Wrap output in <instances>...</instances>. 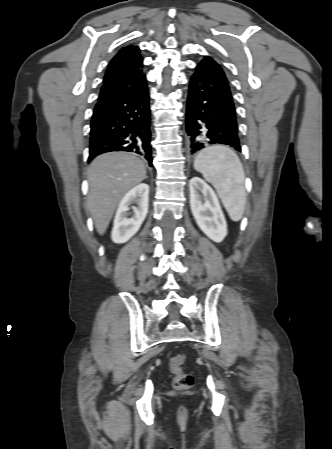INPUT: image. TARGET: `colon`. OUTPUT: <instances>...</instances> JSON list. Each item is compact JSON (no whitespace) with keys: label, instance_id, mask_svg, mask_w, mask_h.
Here are the masks:
<instances>
[{"label":"colon","instance_id":"5ec220e1","mask_svg":"<svg viewBox=\"0 0 332 449\" xmlns=\"http://www.w3.org/2000/svg\"><path fill=\"white\" fill-rule=\"evenodd\" d=\"M185 358L183 355H175L170 360V369L175 376L174 385L177 389H187L193 384V377L183 370Z\"/></svg>","mask_w":332,"mask_h":449}]
</instances>
